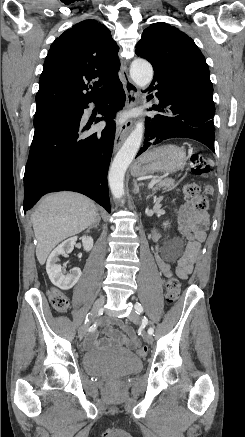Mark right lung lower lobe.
Returning <instances> with one entry per match:
<instances>
[{
    "mask_svg": "<svg viewBox=\"0 0 245 437\" xmlns=\"http://www.w3.org/2000/svg\"><path fill=\"white\" fill-rule=\"evenodd\" d=\"M100 101L98 118L106 121L102 132L84 136L83 110L91 101ZM67 105L35 126L24 174V212L46 193L75 191L82 193L111 212L107 172L115 137V113L122 109L125 92L116 82L95 99Z\"/></svg>",
    "mask_w": 245,
    "mask_h": 437,
    "instance_id": "right-lung-lower-lobe-1",
    "label": "right lung lower lobe"
}]
</instances>
